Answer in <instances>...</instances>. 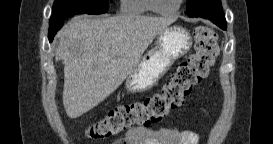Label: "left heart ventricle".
I'll return each instance as SVG.
<instances>
[{"mask_svg": "<svg viewBox=\"0 0 273 144\" xmlns=\"http://www.w3.org/2000/svg\"><path fill=\"white\" fill-rule=\"evenodd\" d=\"M178 3V0H157L158 8L162 10H169L174 8Z\"/></svg>", "mask_w": 273, "mask_h": 144, "instance_id": "1", "label": "left heart ventricle"}]
</instances>
